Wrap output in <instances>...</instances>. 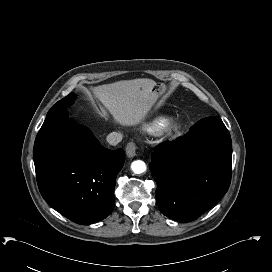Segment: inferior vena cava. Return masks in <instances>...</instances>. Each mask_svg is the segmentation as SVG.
I'll list each match as a JSON object with an SVG mask.
<instances>
[{
	"instance_id": "obj_1",
	"label": "inferior vena cava",
	"mask_w": 272,
	"mask_h": 272,
	"mask_svg": "<svg viewBox=\"0 0 272 272\" xmlns=\"http://www.w3.org/2000/svg\"><path fill=\"white\" fill-rule=\"evenodd\" d=\"M106 140L110 145L115 146L122 141V135L117 132H112L107 135Z\"/></svg>"
}]
</instances>
